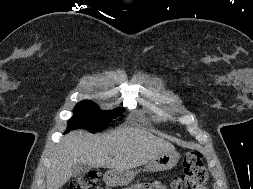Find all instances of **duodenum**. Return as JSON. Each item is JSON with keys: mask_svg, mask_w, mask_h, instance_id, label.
I'll use <instances>...</instances> for the list:
<instances>
[{"mask_svg": "<svg viewBox=\"0 0 253 189\" xmlns=\"http://www.w3.org/2000/svg\"><path fill=\"white\" fill-rule=\"evenodd\" d=\"M113 177V176H112ZM113 179V178H112ZM109 181H111V175H110V179H109Z\"/></svg>", "mask_w": 253, "mask_h": 189, "instance_id": "duodenum-1", "label": "duodenum"}]
</instances>
